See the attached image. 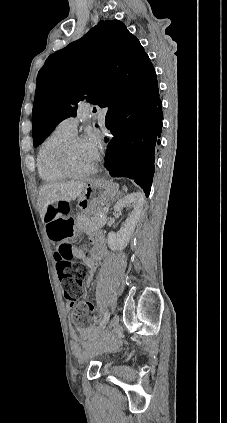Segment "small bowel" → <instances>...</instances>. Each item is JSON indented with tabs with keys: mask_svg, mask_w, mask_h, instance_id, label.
Wrapping results in <instances>:
<instances>
[{
	"mask_svg": "<svg viewBox=\"0 0 227 423\" xmlns=\"http://www.w3.org/2000/svg\"><path fill=\"white\" fill-rule=\"evenodd\" d=\"M64 222H71L69 219L67 218H63V217H56L54 220L49 221L46 223V231L48 234V237L55 242L53 235H52V230L54 229V227L60 223H64ZM99 256H95L93 258L87 259L86 260V265L90 270V275L88 278V283H90L91 281V277L93 272L95 271L98 262H99ZM75 304V300H67L66 299V307L68 310H70ZM99 334V331L94 328V327H90V328H83L80 329V335L82 337V344L79 342H75L73 344V351L77 356H80L83 352V348L86 346H89L93 343L95 337Z\"/></svg>",
	"mask_w": 227,
	"mask_h": 423,
	"instance_id": "obj_1",
	"label": "small bowel"
}]
</instances>
